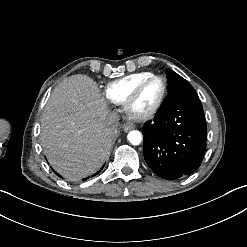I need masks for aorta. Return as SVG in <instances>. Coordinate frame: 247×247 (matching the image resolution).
<instances>
[{"instance_id": "1", "label": "aorta", "mask_w": 247, "mask_h": 247, "mask_svg": "<svg viewBox=\"0 0 247 247\" xmlns=\"http://www.w3.org/2000/svg\"><path fill=\"white\" fill-rule=\"evenodd\" d=\"M127 138L132 145H139L142 141V134L137 130H133L128 133Z\"/></svg>"}]
</instances>
